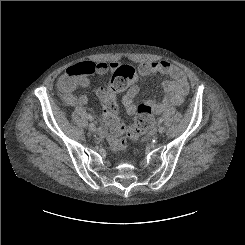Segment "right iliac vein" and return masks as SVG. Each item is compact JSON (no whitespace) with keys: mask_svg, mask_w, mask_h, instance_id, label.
<instances>
[{"mask_svg":"<svg viewBox=\"0 0 245 245\" xmlns=\"http://www.w3.org/2000/svg\"><path fill=\"white\" fill-rule=\"evenodd\" d=\"M89 129L91 132H95L96 131V126L93 123L89 124Z\"/></svg>","mask_w":245,"mask_h":245,"instance_id":"1","label":"right iliac vein"}]
</instances>
